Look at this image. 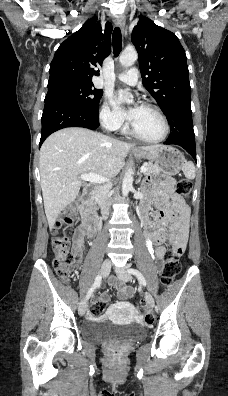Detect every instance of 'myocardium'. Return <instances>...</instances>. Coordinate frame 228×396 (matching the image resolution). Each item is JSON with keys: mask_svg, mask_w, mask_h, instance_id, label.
Returning a JSON list of instances; mask_svg holds the SVG:
<instances>
[{"mask_svg": "<svg viewBox=\"0 0 228 396\" xmlns=\"http://www.w3.org/2000/svg\"><path fill=\"white\" fill-rule=\"evenodd\" d=\"M141 107H144L146 109H149L153 112H155L159 118L161 119V122L163 124V133L160 137L156 138V139H148L143 137L142 135H140L134 128V126L131 124L129 131L132 134V136H134L136 139L145 142V143H150V144H156V143H160L163 142L167 139L169 132H170V126L168 123V120L166 118V116L164 115V113L155 105L150 104V103H143L141 105Z\"/></svg>", "mask_w": 228, "mask_h": 396, "instance_id": "myocardium-1", "label": "myocardium"}]
</instances>
